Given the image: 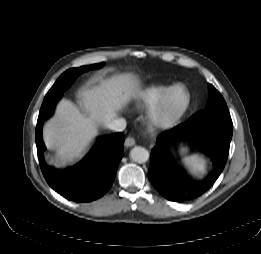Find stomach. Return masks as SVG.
<instances>
[{
	"mask_svg": "<svg viewBox=\"0 0 261 254\" xmlns=\"http://www.w3.org/2000/svg\"><path fill=\"white\" fill-rule=\"evenodd\" d=\"M185 151H186L185 149H182L180 152L183 154V153H185Z\"/></svg>",
	"mask_w": 261,
	"mask_h": 254,
	"instance_id": "0dacf381",
	"label": "stomach"
}]
</instances>
